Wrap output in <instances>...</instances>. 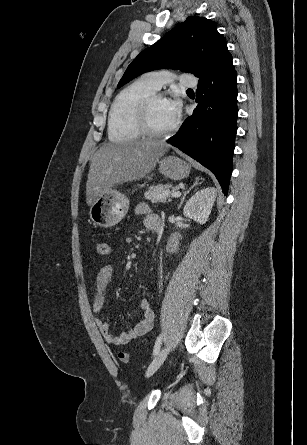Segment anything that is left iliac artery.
Returning <instances> with one entry per match:
<instances>
[{
  "mask_svg": "<svg viewBox=\"0 0 307 445\" xmlns=\"http://www.w3.org/2000/svg\"><path fill=\"white\" fill-rule=\"evenodd\" d=\"M161 341H162V337H161V335H160V336L157 338L156 343H155V346H154V350H153V355H154V356L157 355L158 352H159V350H160V347H161Z\"/></svg>",
  "mask_w": 307,
  "mask_h": 445,
  "instance_id": "44dca946",
  "label": "left iliac artery"
}]
</instances>
